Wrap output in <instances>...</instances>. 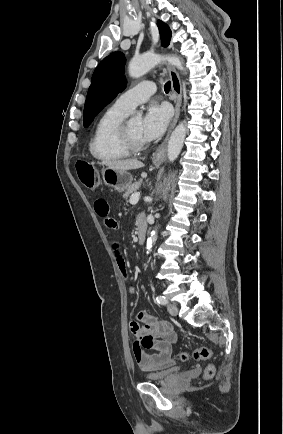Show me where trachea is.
Masks as SVG:
<instances>
[{"mask_svg": "<svg viewBox=\"0 0 283 434\" xmlns=\"http://www.w3.org/2000/svg\"><path fill=\"white\" fill-rule=\"evenodd\" d=\"M170 87H171V83L170 81H168L165 85H164V90L166 93H169L170 91Z\"/></svg>", "mask_w": 283, "mask_h": 434, "instance_id": "3493384b", "label": "trachea"}]
</instances>
